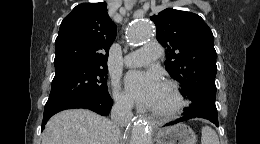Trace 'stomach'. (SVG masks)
Here are the masks:
<instances>
[{
  "mask_svg": "<svg viewBox=\"0 0 260 144\" xmlns=\"http://www.w3.org/2000/svg\"><path fill=\"white\" fill-rule=\"evenodd\" d=\"M157 144H196L194 131L185 124H177L157 131Z\"/></svg>",
  "mask_w": 260,
  "mask_h": 144,
  "instance_id": "stomach-1",
  "label": "stomach"
}]
</instances>
